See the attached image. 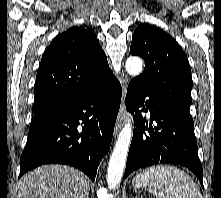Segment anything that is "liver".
<instances>
[{"label":"liver","mask_w":221,"mask_h":198,"mask_svg":"<svg viewBox=\"0 0 221 198\" xmlns=\"http://www.w3.org/2000/svg\"><path fill=\"white\" fill-rule=\"evenodd\" d=\"M89 179L66 165H44L24 176L13 198H89Z\"/></svg>","instance_id":"1"}]
</instances>
